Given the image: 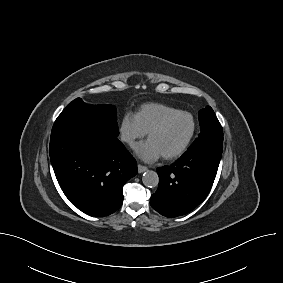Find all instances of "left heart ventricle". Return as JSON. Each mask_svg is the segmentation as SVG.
I'll list each match as a JSON object with an SVG mask.
<instances>
[{"label":"left heart ventricle","instance_id":"1","mask_svg":"<svg viewBox=\"0 0 283 283\" xmlns=\"http://www.w3.org/2000/svg\"><path fill=\"white\" fill-rule=\"evenodd\" d=\"M191 126L189 117L176 116L149 139L159 148L162 155L170 154L182 146L190 134Z\"/></svg>","mask_w":283,"mask_h":283}]
</instances>
